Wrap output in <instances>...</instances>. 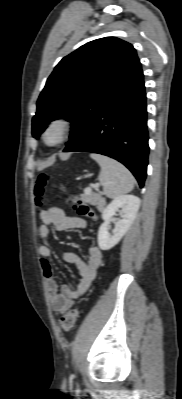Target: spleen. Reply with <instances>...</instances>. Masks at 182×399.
Segmentation results:
<instances>
[{"mask_svg": "<svg viewBox=\"0 0 182 399\" xmlns=\"http://www.w3.org/2000/svg\"><path fill=\"white\" fill-rule=\"evenodd\" d=\"M90 157L101 167L98 180L105 195L113 198L133 189L134 177L121 163L99 154H91Z\"/></svg>", "mask_w": 182, "mask_h": 399, "instance_id": "1", "label": "spleen"}]
</instances>
